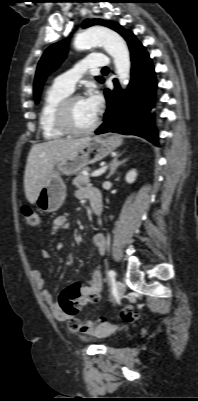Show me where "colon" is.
I'll return each instance as SVG.
<instances>
[{"label":"colon","instance_id":"1","mask_svg":"<svg viewBox=\"0 0 198 401\" xmlns=\"http://www.w3.org/2000/svg\"><path fill=\"white\" fill-rule=\"evenodd\" d=\"M22 212L24 215L25 224L28 227L39 226L40 223L39 214L34 209L25 206L23 207ZM74 295H75V283L66 288L60 296V307L62 308L63 311H65L68 314H74L78 311L77 306L71 302ZM120 316L123 321L130 323L138 318V313L132 307L126 306L120 311ZM89 322L93 321L79 320L78 324L79 326H82L83 324Z\"/></svg>","mask_w":198,"mask_h":401}]
</instances>
